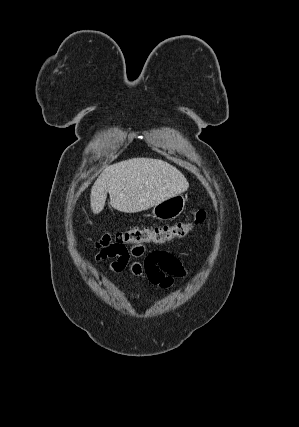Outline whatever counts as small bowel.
<instances>
[{
    "instance_id": "c3829d8e",
    "label": "small bowel",
    "mask_w": 299,
    "mask_h": 427,
    "mask_svg": "<svg viewBox=\"0 0 299 427\" xmlns=\"http://www.w3.org/2000/svg\"><path fill=\"white\" fill-rule=\"evenodd\" d=\"M142 257H145L143 262L135 260ZM108 270L114 273L129 270L133 275L147 277L152 284L162 288L170 287L175 278L187 275V269L173 254L166 251L146 254L143 245H135L130 250L116 255Z\"/></svg>"
}]
</instances>
